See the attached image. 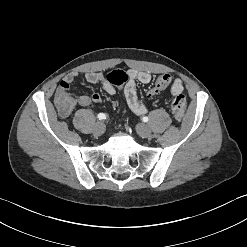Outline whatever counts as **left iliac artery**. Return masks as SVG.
I'll return each mask as SVG.
<instances>
[{"label": "left iliac artery", "instance_id": "obj_1", "mask_svg": "<svg viewBox=\"0 0 247 247\" xmlns=\"http://www.w3.org/2000/svg\"><path fill=\"white\" fill-rule=\"evenodd\" d=\"M142 120H143L144 122H148L149 118H148V117H143Z\"/></svg>", "mask_w": 247, "mask_h": 247}]
</instances>
